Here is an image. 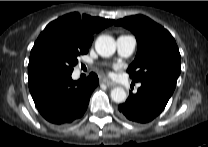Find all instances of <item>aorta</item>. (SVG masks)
Masks as SVG:
<instances>
[{
	"label": "aorta",
	"instance_id": "aorta-1",
	"mask_svg": "<svg viewBox=\"0 0 208 147\" xmlns=\"http://www.w3.org/2000/svg\"><path fill=\"white\" fill-rule=\"evenodd\" d=\"M95 49L102 57H110L116 51V42L112 36L100 35L95 42ZM111 99L116 103H122L127 99L125 90L121 87H116L111 91Z\"/></svg>",
	"mask_w": 208,
	"mask_h": 147
}]
</instances>
